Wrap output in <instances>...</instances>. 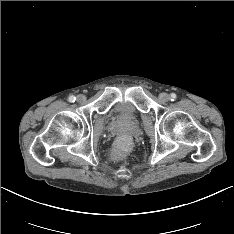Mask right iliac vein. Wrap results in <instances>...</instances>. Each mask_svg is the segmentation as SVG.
<instances>
[{"instance_id":"obj_1","label":"right iliac vein","mask_w":234,"mask_h":234,"mask_svg":"<svg viewBox=\"0 0 234 234\" xmlns=\"http://www.w3.org/2000/svg\"><path fill=\"white\" fill-rule=\"evenodd\" d=\"M85 100H86V97H85L84 95L80 94V95L77 96V101H78L79 103H82V102H84Z\"/></svg>"}]
</instances>
